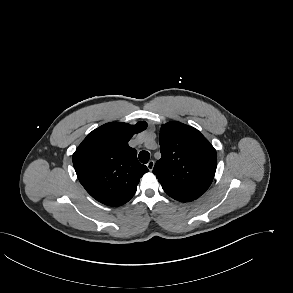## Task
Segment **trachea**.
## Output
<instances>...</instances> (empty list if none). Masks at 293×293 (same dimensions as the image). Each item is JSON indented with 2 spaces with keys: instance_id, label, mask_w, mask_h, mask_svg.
Instances as JSON below:
<instances>
[{
  "instance_id": "trachea-1",
  "label": "trachea",
  "mask_w": 293,
  "mask_h": 293,
  "mask_svg": "<svg viewBox=\"0 0 293 293\" xmlns=\"http://www.w3.org/2000/svg\"><path fill=\"white\" fill-rule=\"evenodd\" d=\"M149 158H150L149 152H147V151H141L139 153V160H140L141 163L146 164L149 161Z\"/></svg>"
}]
</instances>
